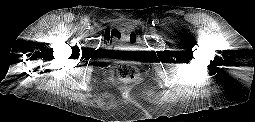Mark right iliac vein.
<instances>
[{"label":"right iliac vein","instance_id":"right-iliac-vein-1","mask_svg":"<svg viewBox=\"0 0 255 122\" xmlns=\"http://www.w3.org/2000/svg\"><path fill=\"white\" fill-rule=\"evenodd\" d=\"M89 31H90L91 33H93V32H94V27L91 26V27L89 28Z\"/></svg>","mask_w":255,"mask_h":122}]
</instances>
